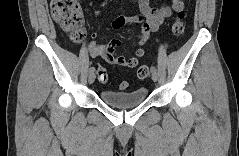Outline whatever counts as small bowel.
Returning <instances> with one entry per match:
<instances>
[{
  "label": "small bowel",
  "instance_id": "small-bowel-1",
  "mask_svg": "<svg viewBox=\"0 0 239 156\" xmlns=\"http://www.w3.org/2000/svg\"><path fill=\"white\" fill-rule=\"evenodd\" d=\"M183 9L184 3L181 0H173L171 6H157L152 5L148 0H141L139 2L140 19L116 18L112 23L114 29L123 28L129 21L141 22V31L136 35L140 47L134 51V55L130 58L116 53L117 48L121 46L120 40H111L107 44L90 42L87 47L93 57H101L115 66H122L128 69L135 68L138 65L139 58L145 54L141 46L150 40L151 34L158 30L166 18Z\"/></svg>",
  "mask_w": 239,
  "mask_h": 156
}]
</instances>
